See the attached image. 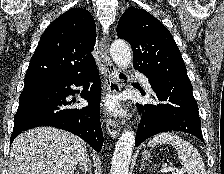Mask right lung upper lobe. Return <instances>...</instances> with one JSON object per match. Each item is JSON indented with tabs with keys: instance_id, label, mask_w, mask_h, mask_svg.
<instances>
[{
	"instance_id": "obj_1",
	"label": "right lung upper lobe",
	"mask_w": 224,
	"mask_h": 174,
	"mask_svg": "<svg viewBox=\"0 0 224 174\" xmlns=\"http://www.w3.org/2000/svg\"><path fill=\"white\" fill-rule=\"evenodd\" d=\"M95 41L96 25L89 11L69 9L41 36L26 72L25 84L89 71L96 65L91 55Z\"/></svg>"
}]
</instances>
